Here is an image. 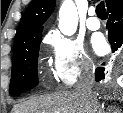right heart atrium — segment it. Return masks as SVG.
Here are the masks:
<instances>
[{
    "mask_svg": "<svg viewBox=\"0 0 123 113\" xmlns=\"http://www.w3.org/2000/svg\"><path fill=\"white\" fill-rule=\"evenodd\" d=\"M53 73L62 86L73 85L77 78L93 69V61L82 43L62 34H51Z\"/></svg>",
    "mask_w": 123,
    "mask_h": 113,
    "instance_id": "right-heart-atrium-1",
    "label": "right heart atrium"
}]
</instances>
